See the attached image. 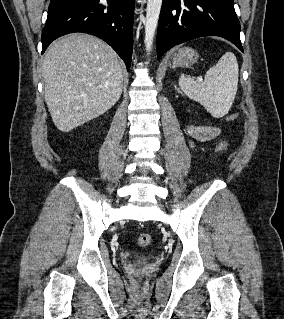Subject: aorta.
Here are the masks:
<instances>
[{"instance_id":"aorta-1","label":"aorta","mask_w":284,"mask_h":319,"mask_svg":"<svg viewBox=\"0 0 284 319\" xmlns=\"http://www.w3.org/2000/svg\"><path fill=\"white\" fill-rule=\"evenodd\" d=\"M161 6L162 0L147 1L144 43L148 55L152 51V45L158 25Z\"/></svg>"}]
</instances>
